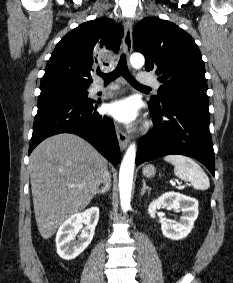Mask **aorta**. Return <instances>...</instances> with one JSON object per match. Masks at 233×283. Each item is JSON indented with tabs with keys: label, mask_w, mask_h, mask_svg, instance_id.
<instances>
[{
	"label": "aorta",
	"mask_w": 233,
	"mask_h": 283,
	"mask_svg": "<svg viewBox=\"0 0 233 283\" xmlns=\"http://www.w3.org/2000/svg\"><path fill=\"white\" fill-rule=\"evenodd\" d=\"M130 63L134 68H141L145 63L144 56L140 53H134L130 57ZM135 157L136 145L132 143L123 157L119 170L120 205L124 213L130 209Z\"/></svg>",
	"instance_id": "obj_1"
}]
</instances>
